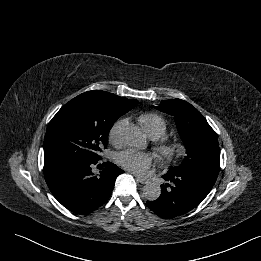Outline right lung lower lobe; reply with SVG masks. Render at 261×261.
Segmentation results:
<instances>
[{
	"mask_svg": "<svg viewBox=\"0 0 261 261\" xmlns=\"http://www.w3.org/2000/svg\"><path fill=\"white\" fill-rule=\"evenodd\" d=\"M98 158H65L44 162V177L53 196L68 210L89 214L110 197L115 180L124 171L104 163L100 175L92 172Z\"/></svg>",
	"mask_w": 261,
	"mask_h": 261,
	"instance_id": "98d812e1",
	"label": "right lung lower lobe"
}]
</instances>
